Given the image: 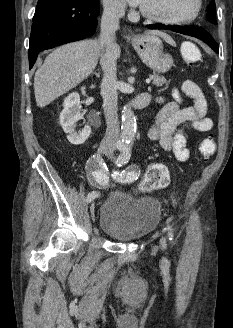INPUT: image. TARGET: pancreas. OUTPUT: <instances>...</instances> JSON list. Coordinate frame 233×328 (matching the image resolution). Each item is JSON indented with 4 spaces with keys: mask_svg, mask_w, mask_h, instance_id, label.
Wrapping results in <instances>:
<instances>
[{
    "mask_svg": "<svg viewBox=\"0 0 233 328\" xmlns=\"http://www.w3.org/2000/svg\"><path fill=\"white\" fill-rule=\"evenodd\" d=\"M150 78L152 79L153 81V84L157 87H160L162 86L163 84L166 83V79L164 76H160L158 74H153V75H150Z\"/></svg>",
    "mask_w": 233,
    "mask_h": 328,
    "instance_id": "1",
    "label": "pancreas"
}]
</instances>
